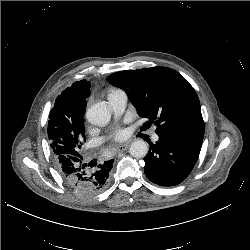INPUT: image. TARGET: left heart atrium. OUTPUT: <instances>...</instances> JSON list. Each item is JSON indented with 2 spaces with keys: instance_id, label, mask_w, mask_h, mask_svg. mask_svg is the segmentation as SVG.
<instances>
[{
  "instance_id": "obj_1",
  "label": "left heart atrium",
  "mask_w": 250,
  "mask_h": 250,
  "mask_svg": "<svg viewBox=\"0 0 250 250\" xmlns=\"http://www.w3.org/2000/svg\"><path fill=\"white\" fill-rule=\"evenodd\" d=\"M111 137L114 140L120 141L127 137V132L126 130L119 128L112 134Z\"/></svg>"
}]
</instances>
